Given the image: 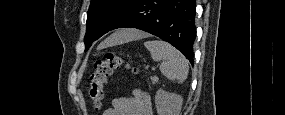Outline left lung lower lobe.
<instances>
[{
    "label": "left lung lower lobe",
    "mask_w": 285,
    "mask_h": 115,
    "mask_svg": "<svg viewBox=\"0 0 285 115\" xmlns=\"http://www.w3.org/2000/svg\"><path fill=\"white\" fill-rule=\"evenodd\" d=\"M194 0H136L111 28H137L176 47L193 64Z\"/></svg>",
    "instance_id": "obj_1"
}]
</instances>
